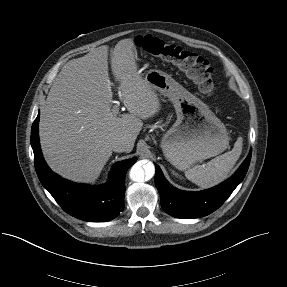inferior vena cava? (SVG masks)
Here are the masks:
<instances>
[{
    "label": "inferior vena cava",
    "mask_w": 287,
    "mask_h": 287,
    "mask_svg": "<svg viewBox=\"0 0 287 287\" xmlns=\"http://www.w3.org/2000/svg\"><path fill=\"white\" fill-rule=\"evenodd\" d=\"M127 143L123 138L115 137L110 141V147L113 151L124 152L126 149Z\"/></svg>",
    "instance_id": "obj_1"
}]
</instances>
